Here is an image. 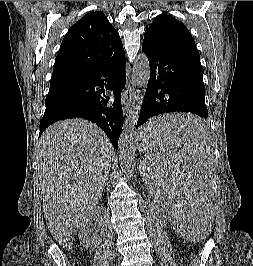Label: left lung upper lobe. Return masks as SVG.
I'll return each mask as SVG.
<instances>
[{
	"mask_svg": "<svg viewBox=\"0 0 253 266\" xmlns=\"http://www.w3.org/2000/svg\"><path fill=\"white\" fill-rule=\"evenodd\" d=\"M144 36L165 38L183 42L196 47L195 42L187 28L175 18L161 14L145 30Z\"/></svg>",
	"mask_w": 253,
	"mask_h": 266,
	"instance_id": "left-lung-upper-lobe-1",
	"label": "left lung upper lobe"
}]
</instances>
